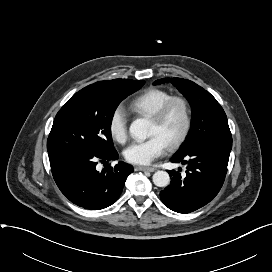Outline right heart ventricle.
Listing matches in <instances>:
<instances>
[{"label":"right heart ventricle","mask_w":272,"mask_h":272,"mask_svg":"<svg viewBox=\"0 0 272 272\" xmlns=\"http://www.w3.org/2000/svg\"><path fill=\"white\" fill-rule=\"evenodd\" d=\"M171 93L159 88H148L136 95L129 103L130 110L140 116L150 117Z\"/></svg>","instance_id":"1"}]
</instances>
